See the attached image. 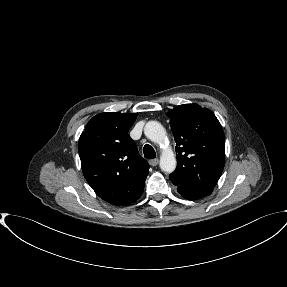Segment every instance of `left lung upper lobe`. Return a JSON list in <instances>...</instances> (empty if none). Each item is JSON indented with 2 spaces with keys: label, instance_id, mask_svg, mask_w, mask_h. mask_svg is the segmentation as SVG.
<instances>
[{
  "label": "left lung upper lobe",
  "instance_id": "left-lung-upper-lobe-1",
  "mask_svg": "<svg viewBox=\"0 0 287 287\" xmlns=\"http://www.w3.org/2000/svg\"><path fill=\"white\" fill-rule=\"evenodd\" d=\"M176 141V170L169 175L178 190L209 195L225 165L224 132L214 113L183 104L166 114Z\"/></svg>",
  "mask_w": 287,
  "mask_h": 287
}]
</instances>
